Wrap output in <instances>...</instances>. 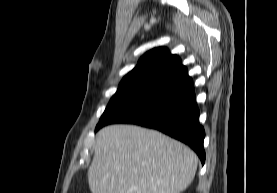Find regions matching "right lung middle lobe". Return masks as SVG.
Segmentation results:
<instances>
[{"instance_id": "1", "label": "right lung middle lobe", "mask_w": 277, "mask_h": 193, "mask_svg": "<svg viewBox=\"0 0 277 193\" xmlns=\"http://www.w3.org/2000/svg\"><path fill=\"white\" fill-rule=\"evenodd\" d=\"M146 95L147 93L141 92V91L117 90L115 95L111 98L103 115L101 116L96 128L103 125L109 119H111L115 114L133 105L134 103H136L138 100L142 99Z\"/></svg>"}]
</instances>
